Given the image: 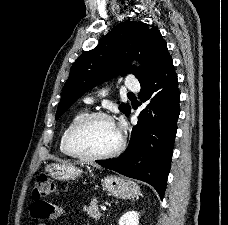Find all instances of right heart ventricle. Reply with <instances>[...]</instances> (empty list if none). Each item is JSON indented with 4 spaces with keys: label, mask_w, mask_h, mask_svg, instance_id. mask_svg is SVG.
<instances>
[{
    "label": "right heart ventricle",
    "mask_w": 228,
    "mask_h": 225,
    "mask_svg": "<svg viewBox=\"0 0 228 225\" xmlns=\"http://www.w3.org/2000/svg\"><path fill=\"white\" fill-rule=\"evenodd\" d=\"M87 113V110L86 109H81L79 111H77L73 117L71 118V120L69 121V123L66 125V127L64 128L62 134H61V137H60V142H59V149H60V152L66 156V157H74L67 149V143H66V140H67V135H68V132L71 128V126L80 118L82 117L83 115H85Z\"/></svg>",
    "instance_id": "right-heart-ventricle-1"
}]
</instances>
